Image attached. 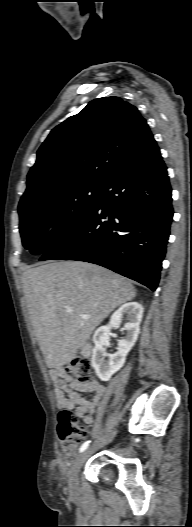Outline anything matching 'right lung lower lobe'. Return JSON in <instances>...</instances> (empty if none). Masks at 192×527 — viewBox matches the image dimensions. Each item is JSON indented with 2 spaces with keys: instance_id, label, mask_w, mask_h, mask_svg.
Returning a JSON list of instances; mask_svg holds the SVG:
<instances>
[{
  "instance_id": "98d812e1",
  "label": "right lung lower lobe",
  "mask_w": 192,
  "mask_h": 527,
  "mask_svg": "<svg viewBox=\"0 0 192 527\" xmlns=\"http://www.w3.org/2000/svg\"><path fill=\"white\" fill-rule=\"evenodd\" d=\"M171 201L167 169L152 140L104 185L83 222L40 260L98 264L154 291L173 217Z\"/></svg>"
}]
</instances>
